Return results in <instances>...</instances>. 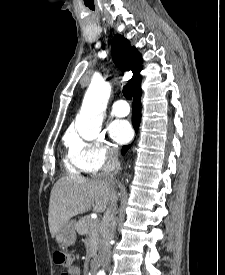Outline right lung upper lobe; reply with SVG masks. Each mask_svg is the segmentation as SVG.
<instances>
[{
  "instance_id": "cb5924a9",
  "label": "right lung upper lobe",
  "mask_w": 225,
  "mask_h": 275,
  "mask_svg": "<svg viewBox=\"0 0 225 275\" xmlns=\"http://www.w3.org/2000/svg\"><path fill=\"white\" fill-rule=\"evenodd\" d=\"M112 57L117 65L123 71L131 70L133 72L132 78L129 80L133 87V91L140 87L141 63L142 58L135 47H131L127 39L121 35H116L111 43Z\"/></svg>"
}]
</instances>
